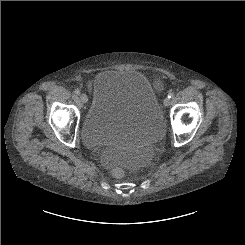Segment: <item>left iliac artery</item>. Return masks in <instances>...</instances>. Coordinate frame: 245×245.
<instances>
[{
  "label": "left iliac artery",
  "mask_w": 245,
  "mask_h": 245,
  "mask_svg": "<svg viewBox=\"0 0 245 245\" xmlns=\"http://www.w3.org/2000/svg\"><path fill=\"white\" fill-rule=\"evenodd\" d=\"M173 96H174V93H173V92H169V93H168V98H169V99L173 98Z\"/></svg>",
  "instance_id": "left-iliac-artery-1"
}]
</instances>
